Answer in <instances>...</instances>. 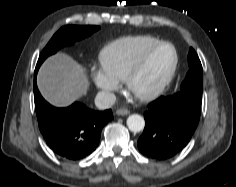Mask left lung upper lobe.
Segmentation results:
<instances>
[{"label":"left lung upper lobe","mask_w":236,"mask_h":187,"mask_svg":"<svg viewBox=\"0 0 236 187\" xmlns=\"http://www.w3.org/2000/svg\"><path fill=\"white\" fill-rule=\"evenodd\" d=\"M189 71L182 82L180 91L174 95H184L197 102H202L203 69L199 57L193 48L188 54Z\"/></svg>","instance_id":"1"}]
</instances>
